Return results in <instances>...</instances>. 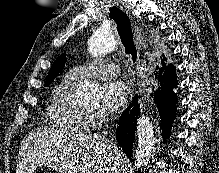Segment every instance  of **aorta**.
Segmentation results:
<instances>
[{
	"label": "aorta",
	"mask_w": 219,
	"mask_h": 173,
	"mask_svg": "<svg viewBox=\"0 0 219 173\" xmlns=\"http://www.w3.org/2000/svg\"><path fill=\"white\" fill-rule=\"evenodd\" d=\"M116 47V39L110 29H97L88 40V51L93 57L103 56L113 51ZM101 88L94 82L84 81L80 84L78 94L92 100L99 96ZM138 145L134 155L135 168H141L148 164L156 142L154 128L150 118L142 115L137 121Z\"/></svg>",
	"instance_id": "1"
}]
</instances>
